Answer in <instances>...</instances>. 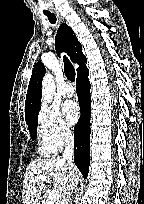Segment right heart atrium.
<instances>
[{"label": "right heart atrium", "mask_w": 144, "mask_h": 204, "mask_svg": "<svg viewBox=\"0 0 144 204\" xmlns=\"http://www.w3.org/2000/svg\"><path fill=\"white\" fill-rule=\"evenodd\" d=\"M37 127L41 146L51 153L59 152L73 138L72 129L60 112L49 106L39 110Z\"/></svg>", "instance_id": "1"}]
</instances>
